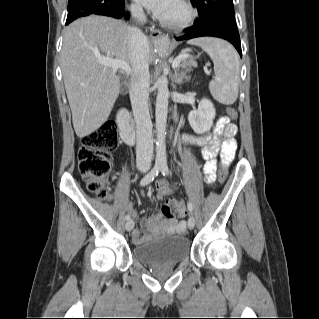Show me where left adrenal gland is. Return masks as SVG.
<instances>
[{"label": "left adrenal gland", "mask_w": 319, "mask_h": 319, "mask_svg": "<svg viewBox=\"0 0 319 319\" xmlns=\"http://www.w3.org/2000/svg\"><path fill=\"white\" fill-rule=\"evenodd\" d=\"M184 79H186V81L188 80V77L186 76V73H184V72L178 73V71L175 70V72H174V80L173 81L180 85V84L183 83Z\"/></svg>", "instance_id": "obj_1"}]
</instances>
